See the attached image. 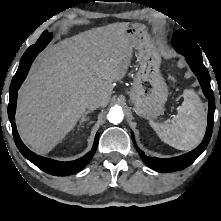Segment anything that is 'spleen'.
Here are the masks:
<instances>
[{
    "label": "spleen",
    "mask_w": 221,
    "mask_h": 221,
    "mask_svg": "<svg viewBox=\"0 0 221 221\" xmlns=\"http://www.w3.org/2000/svg\"><path fill=\"white\" fill-rule=\"evenodd\" d=\"M184 101L171 121H150L159 138L178 150H191L202 140L206 129V111L193 90H184Z\"/></svg>",
    "instance_id": "obj_1"
}]
</instances>
